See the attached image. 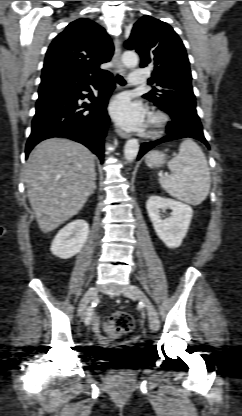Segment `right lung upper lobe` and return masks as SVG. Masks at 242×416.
<instances>
[{
    "instance_id": "right-lung-upper-lobe-1",
    "label": "right lung upper lobe",
    "mask_w": 242,
    "mask_h": 416,
    "mask_svg": "<svg viewBox=\"0 0 242 416\" xmlns=\"http://www.w3.org/2000/svg\"><path fill=\"white\" fill-rule=\"evenodd\" d=\"M114 47L105 30L88 19L70 23L51 43L42 69L39 95L92 84L109 75L100 69Z\"/></svg>"
}]
</instances>
